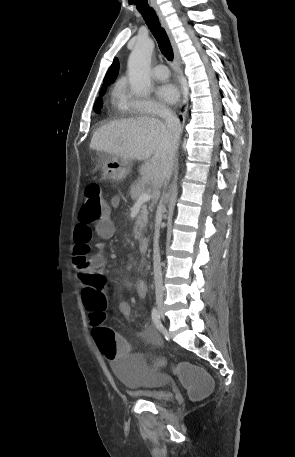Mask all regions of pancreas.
Here are the masks:
<instances>
[{
    "label": "pancreas",
    "instance_id": "1",
    "mask_svg": "<svg viewBox=\"0 0 295 457\" xmlns=\"http://www.w3.org/2000/svg\"><path fill=\"white\" fill-rule=\"evenodd\" d=\"M146 191L145 185L143 183H134L130 187L129 191V196L133 201H137L138 198L142 193ZM148 222V211H147V206L144 204L139 212V215L136 219L135 225H134V235L136 239H139L142 234L143 230L146 227V224Z\"/></svg>",
    "mask_w": 295,
    "mask_h": 457
}]
</instances>
